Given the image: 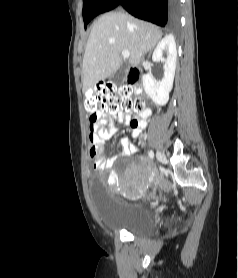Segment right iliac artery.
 I'll return each instance as SVG.
<instances>
[{
	"label": "right iliac artery",
	"instance_id": "1",
	"mask_svg": "<svg viewBox=\"0 0 238 278\" xmlns=\"http://www.w3.org/2000/svg\"><path fill=\"white\" fill-rule=\"evenodd\" d=\"M149 157H150L151 159H153V157H154V152H153L152 150L149 151Z\"/></svg>",
	"mask_w": 238,
	"mask_h": 278
}]
</instances>
